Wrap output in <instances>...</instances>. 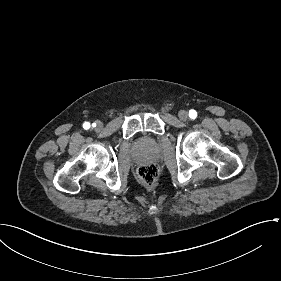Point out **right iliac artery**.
I'll list each match as a JSON object with an SVG mask.
<instances>
[{
	"label": "right iliac artery",
	"mask_w": 281,
	"mask_h": 281,
	"mask_svg": "<svg viewBox=\"0 0 281 281\" xmlns=\"http://www.w3.org/2000/svg\"><path fill=\"white\" fill-rule=\"evenodd\" d=\"M93 125L96 126V124H93ZM83 127H84V129H89V128H90V123L85 122V123L83 124Z\"/></svg>",
	"instance_id": "obj_1"
}]
</instances>
